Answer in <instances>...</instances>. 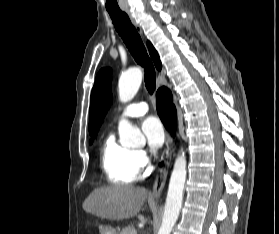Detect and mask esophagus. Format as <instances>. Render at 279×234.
<instances>
[{
  "label": "esophagus",
  "instance_id": "obj_1",
  "mask_svg": "<svg viewBox=\"0 0 279 234\" xmlns=\"http://www.w3.org/2000/svg\"><path fill=\"white\" fill-rule=\"evenodd\" d=\"M128 14H129V12H128ZM136 28L141 33V29L138 25H136ZM171 156H172V137H171L170 133H168L167 139H166V149L164 152V165L159 170L155 183L153 185L152 196H154V197H159L163 191L165 181H166L167 171H168L169 164L171 161Z\"/></svg>",
  "mask_w": 279,
  "mask_h": 234
}]
</instances>
